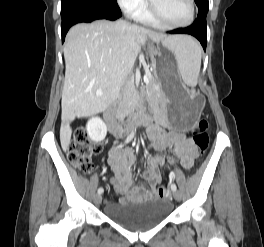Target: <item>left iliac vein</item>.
Instances as JSON below:
<instances>
[{"mask_svg": "<svg viewBox=\"0 0 264 247\" xmlns=\"http://www.w3.org/2000/svg\"><path fill=\"white\" fill-rule=\"evenodd\" d=\"M173 196H174L175 200H177V201H180L182 198V195L179 191H174Z\"/></svg>", "mask_w": 264, "mask_h": 247, "instance_id": "1", "label": "left iliac vein"}]
</instances>
